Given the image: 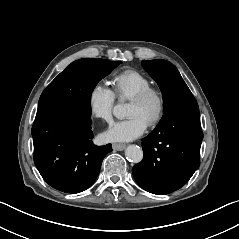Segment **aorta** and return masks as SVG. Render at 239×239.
I'll use <instances>...</instances> for the list:
<instances>
[{
  "mask_svg": "<svg viewBox=\"0 0 239 239\" xmlns=\"http://www.w3.org/2000/svg\"><path fill=\"white\" fill-rule=\"evenodd\" d=\"M113 115L118 119H125L127 116V104H117L113 108ZM125 156L134 163H139L143 159V151L137 145H129L125 149Z\"/></svg>",
  "mask_w": 239,
  "mask_h": 239,
  "instance_id": "762f6f07",
  "label": "aorta"
}]
</instances>
